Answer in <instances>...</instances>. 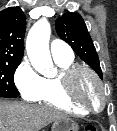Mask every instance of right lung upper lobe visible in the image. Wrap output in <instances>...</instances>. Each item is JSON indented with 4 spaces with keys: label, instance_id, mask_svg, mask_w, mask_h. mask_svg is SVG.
<instances>
[{
    "label": "right lung upper lobe",
    "instance_id": "1",
    "mask_svg": "<svg viewBox=\"0 0 117 131\" xmlns=\"http://www.w3.org/2000/svg\"><path fill=\"white\" fill-rule=\"evenodd\" d=\"M25 20V14L20 7H9L0 12V62L21 61Z\"/></svg>",
    "mask_w": 117,
    "mask_h": 131
}]
</instances>
